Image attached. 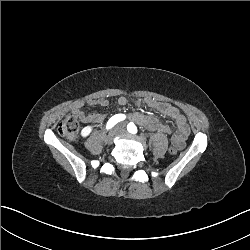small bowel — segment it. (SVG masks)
Here are the masks:
<instances>
[{"label": "small bowel", "mask_w": 250, "mask_h": 250, "mask_svg": "<svg viewBox=\"0 0 250 250\" xmlns=\"http://www.w3.org/2000/svg\"><path fill=\"white\" fill-rule=\"evenodd\" d=\"M144 102L147 104V106L156 110L161 115L170 118L174 122L176 130L172 136L171 142L176 143L179 149L182 148L185 143V140L188 138L190 133V129L185 116L180 113V111L176 107L170 105L169 103L160 102L150 97L145 98ZM127 103L128 101L125 96H121L118 98V105L125 106ZM89 104L92 106L96 105L105 107L108 105V101L102 98L92 100L89 102ZM137 105H140V101L137 102ZM76 112L79 115L80 119L84 122L100 124L104 121V116L97 113L86 114L83 111L79 110H76ZM129 118L130 120L151 131H157L164 134H171L172 132V129L168 124L161 122L158 118L152 115H146L137 112L131 114Z\"/></svg>", "instance_id": "obj_1"}]
</instances>
